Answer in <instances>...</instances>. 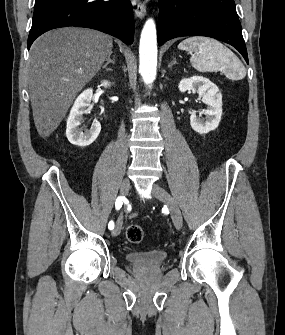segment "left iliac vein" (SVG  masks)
I'll list each match as a JSON object with an SVG mask.
<instances>
[{"label": "left iliac vein", "instance_id": "left-iliac-vein-1", "mask_svg": "<svg viewBox=\"0 0 285 335\" xmlns=\"http://www.w3.org/2000/svg\"><path fill=\"white\" fill-rule=\"evenodd\" d=\"M152 193L169 208L174 225L180 229L183 225L181 211L173 197L160 185H153Z\"/></svg>", "mask_w": 285, "mask_h": 335}]
</instances>
